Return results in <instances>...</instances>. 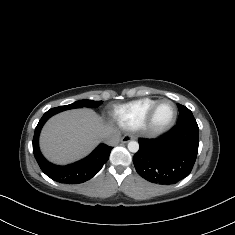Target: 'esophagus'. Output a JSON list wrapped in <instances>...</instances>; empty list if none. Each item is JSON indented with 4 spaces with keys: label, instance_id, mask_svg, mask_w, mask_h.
<instances>
[{
    "label": "esophagus",
    "instance_id": "obj_1",
    "mask_svg": "<svg viewBox=\"0 0 235 235\" xmlns=\"http://www.w3.org/2000/svg\"><path fill=\"white\" fill-rule=\"evenodd\" d=\"M133 139H135V137L132 136V135H124V136L121 138L120 142H121V143H128L129 141H131V140H133Z\"/></svg>",
    "mask_w": 235,
    "mask_h": 235
}]
</instances>
